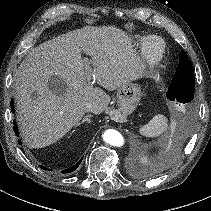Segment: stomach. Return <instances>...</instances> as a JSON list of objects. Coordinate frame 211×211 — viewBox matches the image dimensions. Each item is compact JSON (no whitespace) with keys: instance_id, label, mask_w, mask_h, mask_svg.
Here are the masks:
<instances>
[{"instance_id":"stomach-1","label":"stomach","mask_w":211,"mask_h":211,"mask_svg":"<svg viewBox=\"0 0 211 211\" xmlns=\"http://www.w3.org/2000/svg\"><path fill=\"white\" fill-rule=\"evenodd\" d=\"M142 96L141 88L137 84L128 83L117 90V105L119 111L125 115L132 113Z\"/></svg>"}]
</instances>
